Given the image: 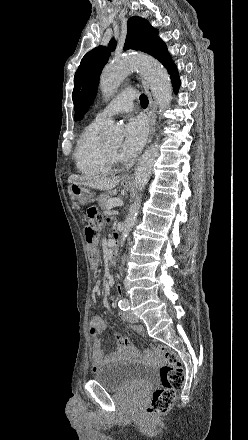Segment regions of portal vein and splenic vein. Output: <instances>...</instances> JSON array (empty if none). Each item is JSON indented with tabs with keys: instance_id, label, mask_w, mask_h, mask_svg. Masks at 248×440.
<instances>
[{
	"instance_id": "obj_1",
	"label": "portal vein and splenic vein",
	"mask_w": 248,
	"mask_h": 440,
	"mask_svg": "<svg viewBox=\"0 0 248 440\" xmlns=\"http://www.w3.org/2000/svg\"><path fill=\"white\" fill-rule=\"evenodd\" d=\"M123 205V201L120 200L119 198H113L111 200H109V203L107 205V209H112L114 207H118V206H122Z\"/></svg>"
}]
</instances>
